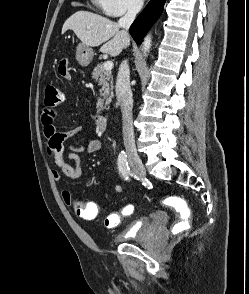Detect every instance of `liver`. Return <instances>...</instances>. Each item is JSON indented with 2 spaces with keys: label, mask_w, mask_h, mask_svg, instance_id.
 I'll return each instance as SVG.
<instances>
[{
  "label": "liver",
  "mask_w": 249,
  "mask_h": 294,
  "mask_svg": "<svg viewBox=\"0 0 249 294\" xmlns=\"http://www.w3.org/2000/svg\"><path fill=\"white\" fill-rule=\"evenodd\" d=\"M73 30L82 44L97 47L110 56H117L126 46L127 37L119 30L117 23L89 11H77L70 16L62 27V34Z\"/></svg>",
  "instance_id": "1"
}]
</instances>
